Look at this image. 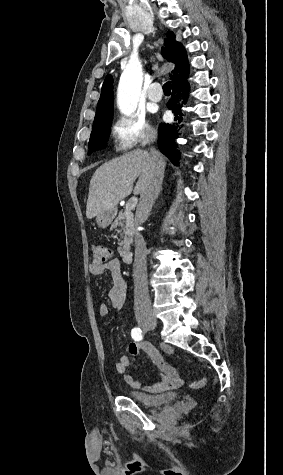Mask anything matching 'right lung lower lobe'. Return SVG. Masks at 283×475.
<instances>
[{
  "label": "right lung lower lobe",
  "mask_w": 283,
  "mask_h": 475,
  "mask_svg": "<svg viewBox=\"0 0 283 475\" xmlns=\"http://www.w3.org/2000/svg\"><path fill=\"white\" fill-rule=\"evenodd\" d=\"M189 71L177 77L172 83V98L168 101L167 107L176 115L175 120L183 119L181 107L186 104V94L189 92V84L187 82ZM183 125L161 123L158 129V145L160 151L166 155L169 160L177 165L180 159V152L174 139L181 135Z\"/></svg>",
  "instance_id": "1"
}]
</instances>
